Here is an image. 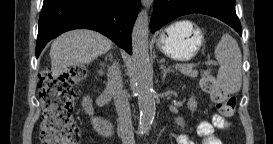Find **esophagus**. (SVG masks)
<instances>
[{
  "mask_svg": "<svg viewBox=\"0 0 273 144\" xmlns=\"http://www.w3.org/2000/svg\"><path fill=\"white\" fill-rule=\"evenodd\" d=\"M141 2L145 7L150 8V6L153 3V0H141Z\"/></svg>",
  "mask_w": 273,
  "mask_h": 144,
  "instance_id": "1",
  "label": "esophagus"
}]
</instances>
